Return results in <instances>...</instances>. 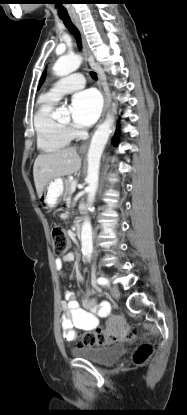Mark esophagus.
I'll use <instances>...</instances> for the list:
<instances>
[{
	"label": "esophagus",
	"mask_w": 187,
	"mask_h": 415,
	"mask_svg": "<svg viewBox=\"0 0 187 415\" xmlns=\"http://www.w3.org/2000/svg\"><path fill=\"white\" fill-rule=\"evenodd\" d=\"M73 22H74L75 26L77 27V29L79 30L80 35H81V40H82V45H83V53H84L86 64L89 68L95 69L97 74H98V77H99L100 90H101V92L103 94V97H104V108H103V112H102V115H101V118H100V121H99V122H101L104 118V115L106 113L107 106H108V100H109V98H108V87L106 85V81H105V77H104L103 72L100 71L98 68L93 66L94 61H93V57H92V52H91V50L89 48V45L87 43V40H86V37L84 35L83 28H82V25H81L79 19H73ZM87 147H88V142H85L84 144H82L80 146V150H82V151L86 150Z\"/></svg>",
	"instance_id": "obj_1"
}]
</instances>
